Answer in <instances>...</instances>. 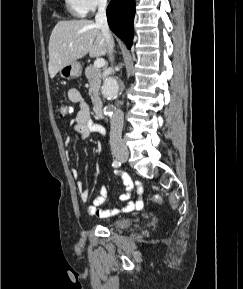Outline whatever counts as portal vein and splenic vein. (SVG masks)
Here are the masks:
<instances>
[{
    "instance_id": "1",
    "label": "portal vein and splenic vein",
    "mask_w": 243,
    "mask_h": 289,
    "mask_svg": "<svg viewBox=\"0 0 243 289\" xmlns=\"http://www.w3.org/2000/svg\"><path fill=\"white\" fill-rule=\"evenodd\" d=\"M105 65V60L103 58H97L95 61H94V67L96 68H101Z\"/></svg>"
}]
</instances>
